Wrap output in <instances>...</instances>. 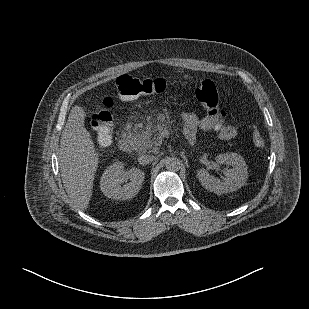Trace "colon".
<instances>
[{"label":"colon","instance_id":"colon-1","mask_svg":"<svg viewBox=\"0 0 309 309\" xmlns=\"http://www.w3.org/2000/svg\"><path fill=\"white\" fill-rule=\"evenodd\" d=\"M115 86L120 100L133 101L140 96L164 92L168 88V83L162 78L137 79L124 75L116 80ZM195 97L210 117L219 119L225 117V112L219 106V92L212 80H202L195 90ZM102 103L103 108L92 117L91 125L98 142L107 145L114 131L115 122L111 110L115 100L111 96H106ZM252 141L258 149H263L265 146L264 138L257 129L252 131Z\"/></svg>","mask_w":309,"mask_h":309}]
</instances>
